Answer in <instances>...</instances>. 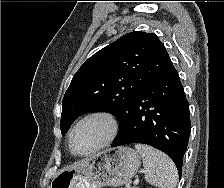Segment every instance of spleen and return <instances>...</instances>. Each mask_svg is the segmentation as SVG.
<instances>
[{"label": "spleen", "instance_id": "1", "mask_svg": "<svg viewBox=\"0 0 224 188\" xmlns=\"http://www.w3.org/2000/svg\"><path fill=\"white\" fill-rule=\"evenodd\" d=\"M135 149L143 159L146 181L159 188H176L178 172L173 161L161 151L145 144Z\"/></svg>", "mask_w": 224, "mask_h": 188}]
</instances>
